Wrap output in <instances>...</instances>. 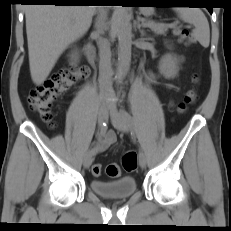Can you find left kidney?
Here are the masks:
<instances>
[{
    "instance_id": "left-kidney-1",
    "label": "left kidney",
    "mask_w": 231,
    "mask_h": 231,
    "mask_svg": "<svg viewBox=\"0 0 231 231\" xmlns=\"http://www.w3.org/2000/svg\"><path fill=\"white\" fill-rule=\"evenodd\" d=\"M182 61V58H177L172 54H166L160 60L159 70L166 78H174L178 74V65Z\"/></svg>"
}]
</instances>
